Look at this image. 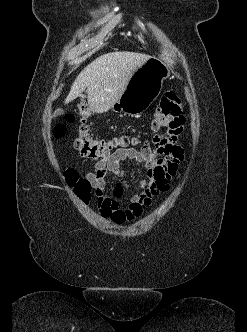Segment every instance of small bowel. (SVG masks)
Here are the masks:
<instances>
[{"mask_svg":"<svg viewBox=\"0 0 247 332\" xmlns=\"http://www.w3.org/2000/svg\"><path fill=\"white\" fill-rule=\"evenodd\" d=\"M177 140L178 134L169 135L161 145H155L153 149L148 142H145L140 150L119 148L95 163L94 170L87 173L85 179L90 182L96 192L100 213L104 218L117 224L132 221L142 214L155 196L169 189L170 180L176 175L179 163L183 159V149ZM125 160L142 164L146 169L147 177L142 183L141 193L131 196L128 206L122 208L119 200L124 195V186L117 185L113 197L106 196L104 190L108 173L116 177L124 176L121 163Z\"/></svg>","mask_w":247,"mask_h":332,"instance_id":"1","label":"small bowel"}]
</instances>
